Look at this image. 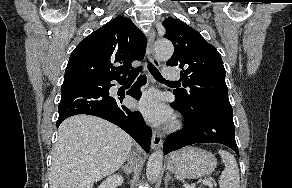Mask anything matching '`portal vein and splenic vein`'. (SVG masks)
<instances>
[{
    "mask_svg": "<svg viewBox=\"0 0 292 188\" xmlns=\"http://www.w3.org/2000/svg\"><path fill=\"white\" fill-rule=\"evenodd\" d=\"M203 184H204V185H208V186L211 187V188L213 187V184H212L210 181H204ZM184 187H185V188H194V186H190V185H188V184H184Z\"/></svg>",
    "mask_w": 292,
    "mask_h": 188,
    "instance_id": "1",
    "label": "portal vein and splenic vein"
}]
</instances>
